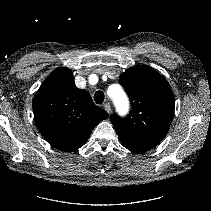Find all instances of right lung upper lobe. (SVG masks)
I'll return each instance as SVG.
<instances>
[{"label":"right lung upper lobe","instance_id":"1","mask_svg":"<svg viewBox=\"0 0 211 211\" xmlns=\"http://www.w3.org/2000/svg\"><path fill=\"white\" fill-rule=\"evenodd\" d=\"M34 119L43 137L55 148L71 152L80 148L93 128L108 118L86 90L78 89L68 68L54 70L33 99Z\"/></svg>","mask_w":211,"mask_h":211}]
</instances>
